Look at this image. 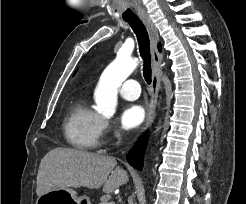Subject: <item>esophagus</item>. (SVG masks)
<instances>
[{"label":"esophagus","instance_id":"34e87169","mask_svg":"<svg viewBox=\"0 0 246 204\" xmlns=\"http://www.w3.org/2000/svg\"><path fill=\"white\" fill-rule=\"evenodd\" d=\"M140 18L149 32L152 53L151 99L148 106L146 121L142 128L143 133L151 126L155 117V109L160 88V69L162 66L163 56L158 50L159 34L151 18L147 14L141 15Z\"/></svg>","mask_w":246,"mask_h":204}]
</instances>
